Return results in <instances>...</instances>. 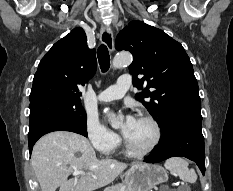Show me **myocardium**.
I'll return each instance as SVG.
<instances>
[{"label":"myocardium","instance_id":"f54148a6","mask_svg":"<svg viewBox=\"0 0 233 191\" xmlns=\"http://www.w3.org/2000/svg\"><path fill=\"white\" fill-rule=\"evenodd\" d=\"M138 119L146 120L152 124L154 131H155V137H154L153 142L151 143L149 147L141 149L131 144L128 141V139L124 136V143L128 151H130L131 153L138 155V156H144V155L151 153L158 146L161 140L162 131H161L159 122L153 116L149 114H141L138 117Z\"/></svg>","mask_w":233,"mask_h":191}]
</instances>
